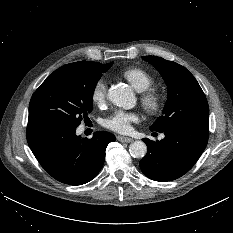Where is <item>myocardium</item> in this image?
<instances>
[{"mask_svg": "<svg viewBox=\"0 0 233 233\" xmlns=\"http://www.w3.org/2000/svg\"><path fill=\"white\" fill-rule=\"evenodd\" d=\"M141 103L147 112L156 113L162 106V98L156 91L146 90L141 95Z\"/></svg>", "mask_w": 233, "mask_h": 233, "instance_id": "1", "label": "myocardium"}]
</instances>
